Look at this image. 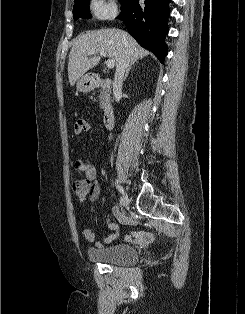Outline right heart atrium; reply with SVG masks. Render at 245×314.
Instances as JSON below:
<instances>
[{
	"instance_id": "obj_1",
	"label": "right heart atrium",
	"mask_w": 245,
	"mask_h": 314,
	"mask_svg": "<svg viewBox=\"0 0 245 314\" xmlns=\"http://www.w3.org/2000/svg\"><path fill=\"white\" fill-rule=\"evenodd\" d=\"M89 6L93 16L99 20L111 19L117 12L114 0H91Z\"/></svg>"
}]
</instances>
